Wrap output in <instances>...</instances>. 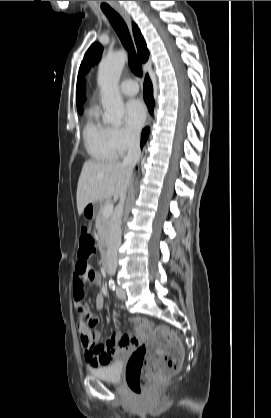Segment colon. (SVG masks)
<instances>
[{"label":"colon","mask_w":271,"mask_h":418,"mask_svg":"<svg viewBox=\"0 0 271 418\" xmlns=\"http://www.w3.org/2000/svg\"><path fill=\"white\" fill-rule=\"evenodd\" d=\"M94 251L91 231L82 226L79 231V260H89ZM182 359L183 348L177 336L166 327L153 329L146 342L132 353L127 362L126 381L129 389L135 395H142L151 384L177 372Z\"/></svg>","instance_id":"obj_1"}]
</instances>
